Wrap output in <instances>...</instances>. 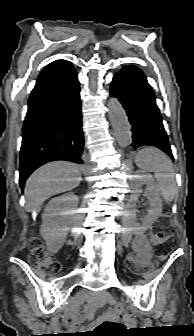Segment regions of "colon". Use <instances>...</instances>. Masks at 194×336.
I'll list each match as a JSON object with an SVG mask.
<instances>
[{
    "label": "colon",
    "instance_id": "5ec220e1",
    "mask_svg": "<svg viewBox=\"0 0 194 336\" xmlns=\"http://www.w3.org/2000/svg\"><path fill=\"white\" fill-rule=\"evenodd\" d=\"M173 225L166 219H160L154 226L151 233V243L157 253L164 254L173 246L172 237L174 235ZM29 260L38 266L46 274L54 275L61 270L60 263L54 258L49 250L41 244L38 239H32L30 242ZM128 265L137 270V262L133 256L128 258ZM114 319L105 321L95 328L90 336H118L124 330L123 324L124 306L121 303L114 305Z\"/></svg>",
    "mask_w": 194,
    "mask_h": 336
}]
</instances>
